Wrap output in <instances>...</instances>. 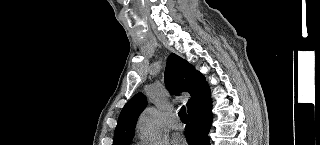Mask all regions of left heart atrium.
I'll list each match as a JSON object with an SVG mask.
<instances>
[{
	"mask_svg": "<svg viewBox=\"0 0 320 145\" xmlns=\"http://www.w3.org/2000/svg\"><path fill=\"white\" fill-rule=\"evenodd\" d=\"M175 141H176V142H180V141H181V139L176 138V139H175Z\"/></svg>",
	"mask_w": 320,
	"mask_h": 145,
	"instance_id": "39dd6f15",
	"label": "left heart atrium"
}]
</instances>
